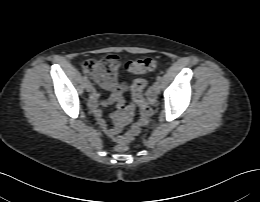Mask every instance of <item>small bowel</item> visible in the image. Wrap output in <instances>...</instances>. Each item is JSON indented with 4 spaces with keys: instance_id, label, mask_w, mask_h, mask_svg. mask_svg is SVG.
I'll use <instances>...</instances> for the list:
<instances>
[{
    "instance_id": "1",
    "label": "small bowel",
    "mask_w": 260,
    "mask_h": 202,
    "mask_svg": "<svg viewBox=\"0 0 260 202\" xmlns=\"http://www.w3.org/2000/svg\"><path fill=\"white\" fill-rule=\"evenodd\" d=\"M101 87L110 92L109 97L101 102L99 93L94 91L89 100V108L106 136L116 140L122 130L131 123L136 107L133 103L126 102L123 89L117 84L116 80L101 84ZM111 103H116L117 108L112 115V124L108 126L102 116L101 107Z\"/></svg>"
}]
</instances>
